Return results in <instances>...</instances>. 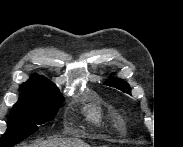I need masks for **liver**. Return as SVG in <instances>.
<instances>
[{
  "instance_id": "liver-1",
  "label": "liver",
  "mask_w": 183,
  "mask_h": 147,
  "mask_svg": "<svg viewBox=\"0 0 183 147\" xmlns=\"http://www.w3.org/2000/svg\"><path fill=\"white\" fill-rule=\"evenodd\" d=\"M24 147H89V145L78 138H69L37 141L34 144Z\"/></svg>"
}]
</instances>
